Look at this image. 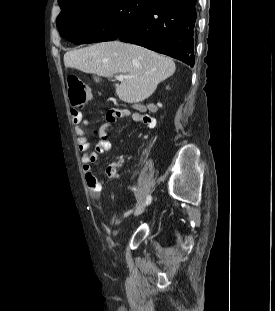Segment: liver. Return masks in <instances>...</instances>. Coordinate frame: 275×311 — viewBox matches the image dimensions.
I'll return each mask as SVG.
<instances>
[{
  "label": "liver",
  "instance_id": "obj_1",
  "mask_svg": "<svg viewBox=\"0 0 275 311\" xmlns=\"http://www.w3.org/2000/svg\"><path fill=\"white\" fill-rule=\"evenodd\" d=\"M64 65L101 77L127 76L116 88L118 97L127 103H139L150 97L157 85L176 69L172 59L120 41L68 51L64 55Z\"/></svg>",
  "mask_w": 275,
  "mask_h": 311
}]
</instances>
